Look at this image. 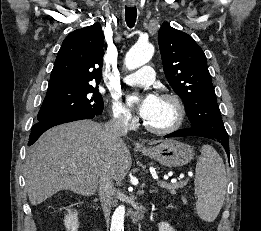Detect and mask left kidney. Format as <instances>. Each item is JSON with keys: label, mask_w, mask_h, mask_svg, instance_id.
Segmentation results:
<instances>
[{"label": "left kidney", "mask_w": 261, "mask_h": 231, "mask_svg": "<svg viewBox=\"0 0 261 231\" xmlns=\"http://www.w3.org/2000/svg\"><path fill=\"white\" fill-rule=\"evenodd\" d=\"M158 229L159 231H175V229L172 226H170V224H168L167 222L159 223Z\"/></svg>", "instance_id": "left-kidney-1"}]
</instances>
